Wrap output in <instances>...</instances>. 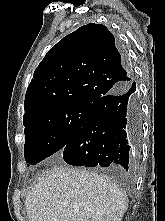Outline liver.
<instances>
[{
    "label": "liver",
    "instance_id": "liver-1",
    "mask_svg": "<svg viewBox=\"0 0 165 221\" xmlns=\"http://www.w3.org/2000/svg\"><path fill=\"white\" fill-rule=\"evenodd\" d=\"M127 206L106 176L59 166L43 171L25 200L30 221H121Z\"/></svg>",
    "mask_w": 165,
    "mask_h": 221
}]
</instances>
